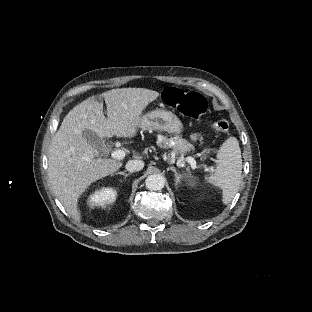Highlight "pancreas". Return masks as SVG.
I'll return each mask as SVG.
<instances>
[{"label":"pancreas","mask_w":312,"mask_h":312,"mask_svg":"<svg viewBox=\"0 0 312 312\" xmlns=\"http://www.w3.org/2000/svg\"><path fill=\"white\" fill-rule=\"evenodd\" d=\"M174 143L173 151L176 155H178L180 152H183L185 150H193L195 149L194 145L189 143L186 139L180 138L178 136H175L171 139ZM162 142L167 144L169 142L168 139L162 138Z\"/></svg>","instance_id":"obj_1"}]
</instances>
